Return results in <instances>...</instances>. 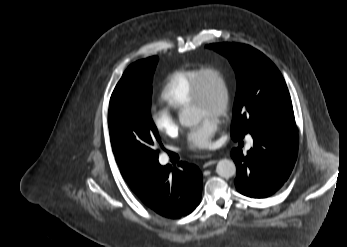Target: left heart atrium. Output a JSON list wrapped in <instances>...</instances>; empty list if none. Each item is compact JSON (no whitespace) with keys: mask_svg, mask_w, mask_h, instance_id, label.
Instances as JSON below:
<instances>
[{"mask_svg":"<svg viewBox=\"0 0 347 247\" xmlns=\"http://www.w3.org/2000/svg\"><path fill=\"white\" fill-rule=\"evenodd\" d=\"M219 130V122L214 116H205L187 134V145L194 150H204L212 146L213 137Z\"/></svg>","mask_w":347,"mask_h":247,"instance_id":"1","label":"left heart atrium"}]
</instances>
